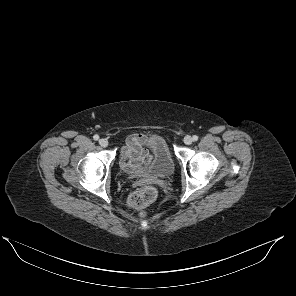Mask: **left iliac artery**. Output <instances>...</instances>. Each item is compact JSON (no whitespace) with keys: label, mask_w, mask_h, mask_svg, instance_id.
<instances>
[{"label":"left iliac artery","mask_w":296,"mask_h":296,"mask_svg":"<svg viewBox=\"0 0 296 296\" xmlns=\"http://www.w3.org/2000/svg\"><path fill=\"white\" fill-rule=\"evenodd\" d=\"M192 139H193V141H197V140H198V136H197V135H194V136L192 137Z\"/></svg>","instance_id":"44dca946"}]
</instances>
